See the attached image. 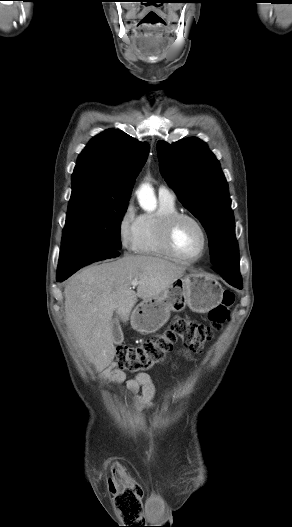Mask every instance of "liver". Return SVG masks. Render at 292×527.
<instances>
[{"mask_svg":"<svg viewBox=\"0 0 292 527\" xmlns=\"http://www.w3.org/2000/svg\"><path fill=\"white\" fill-rule=\"evenodd\" d=\"M185 271L184 266L161 258L126 255L88 266L68 279L64 289L66 325L97 371L108 367L116 354L113 313L126 323L138 298L148 300L166 292ZM133 280L139 282L136 292Z\"/></svg>","mask_w":292,"mask_h":527,"instance_id":"6515ba94","label":"liver"}]
</instances>
